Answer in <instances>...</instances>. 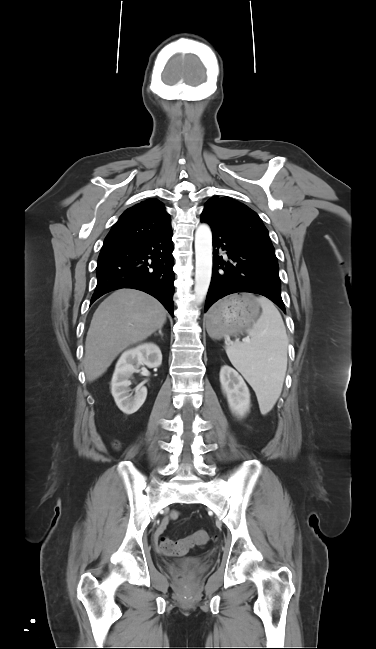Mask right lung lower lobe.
Wrapping results in <instances>:
<instances>
[{
  "label": "right lung lower lobe",
  "instance_id": "obj_1",
  "mask_svg": "<svg viewBox=\"0 0 376 649\" xmlns=\"http://www.w3.org/2000/svg\"><path fill=\"white\" fill-rule=\"evenodd\" d=\"M172 252V230L101 250L96 268L97 286L90 304L110 291L133 288L154 296L173 317Z\"/></svg>",
  "mask_w": 376,
  "mask_h": 649
}]
</instances>
